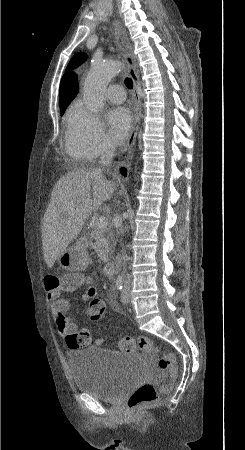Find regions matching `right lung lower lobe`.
<instances>
[{
    "label": "right lung lower lobe",
    "mask_w": 245,
    "mask_h": 450,
    "mask_svg": "<svg viewBox=\"0 0 245 450\" xmlns=\"http://www.w3.org/2000/svg\"><path fill=\"white\" fill-rule=\"evenodd\" d=\"M121 173L126 176V169L121 170Z\"/></svg>",
    "instance_id": "obj_1"
}]
</instances>
